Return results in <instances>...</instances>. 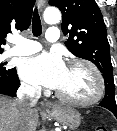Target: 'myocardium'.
Here are the masks:
<instances>
[{"label": "myocardium", "mask_w": 117, "mask_h": 131, "mask_svg": "<svg viewBox=\"0 0 117 131\" xmlns=\"http://www.w3.org/2000/svg\"><path fill=\"white\" fill-rule=\"evenodd\" d=\"M71 66L83 67L93 75L96 85L95 93L87 99H76V98L68 97L57 90L55 92L56 97L65 103L76 105V106H91L98 103L102 99L105 91L104 79L99 69L91 62L81 59H73L69 61L68 67Z\"/></svg>", "instance_id": "myocardium-1"}]
</instances>
